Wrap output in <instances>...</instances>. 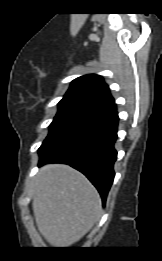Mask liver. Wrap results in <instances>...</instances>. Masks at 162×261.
Returning <instances> with one entry per match:
<instances>
[{
  "instance_id": "liver-1",
  "label": "liver",
  "mask_w": 162,
  "mask_h": 261,
  "mask_svg": "<svg viewBox=\"0 0 162 261\" xmlns=\"http://www.w3.org/2000/svg\"><path fill=\"white\" fill-rule=\"evenodd\" d=\"M40 234L54 247H68L88 233L100 218L97 190L70 166L50 164L37 175L32 202Z\"/></svg>"
}]
</instances>
